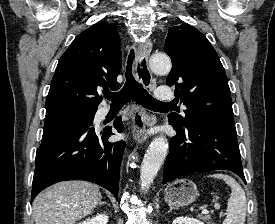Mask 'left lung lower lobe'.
I'll return each mask as SVG.
<instances>
[{"mask_svg": "<svg viewBox=\"0 0 275 224\" xmlns=\"http://www.w3.org/2000/svg\"><path fill=\"white\" fill-rule=\"evenodd\" d=\"M177 134L170 139L163 183L183 175L209 170H229L245 177L236 128L199 120L186 127L169 120Z\"/></svg>", "mask_w": 275, "mask_h": 224, "instance_id": "0a47b994", "label": "left lung lower lobe"}]
</instances>
